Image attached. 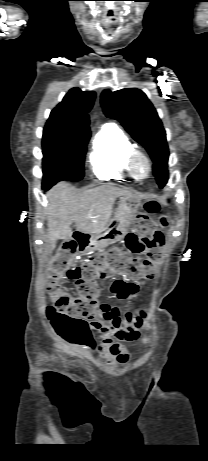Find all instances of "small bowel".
Returning a JSON list of instances; mask_svg holds the SVG:
<instances>
[{"mask_svg": "<svg viewBox=\"0 0 208 461\" xmlns=\"http://www.w3.org/2000/svg\"><path fill=\"white\" fill-rule=\"evenodd\" d=\"M108 289L118 299L130 300L138 294L139 285L135 281L117 279L109 285ZM146 318L147 313L145 311H142L138 316L131 313L123 316L119 308L109 304H101L96 307L94 315L88 320L89 330L98 336L100 343L96 345L91 337L90 342L83 346L90 351H96L110 362L126 363L128 360L127 350L114 340H136Z\"/></svg>", "mask_w": 208, "mask_h": 461, "instance_id": "1", "label": "small bowel"}]
</instances>
